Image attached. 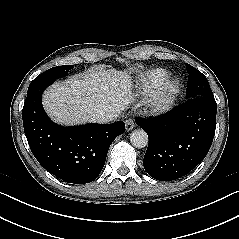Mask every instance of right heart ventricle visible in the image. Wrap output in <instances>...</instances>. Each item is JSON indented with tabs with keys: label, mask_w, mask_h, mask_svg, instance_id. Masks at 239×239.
<instances>
[{
	"label": "right heart ventricle",
	"mask_w": 239,
	"mask_h": 239,
	"mask_svg": "<svg viewBox=\"0 0 239 239\" xmlns=\"http://www.w3.org/2000/svg\"><path fill=\"white\" fill-rule=\"evenodd\" d=\"M169 72L162 68L150 69L139 79L138 88L142 94L152 92L159 84L166 80Z\"/></svg>",
	"instance_id": "e07e8e85"
}]
</instances>
